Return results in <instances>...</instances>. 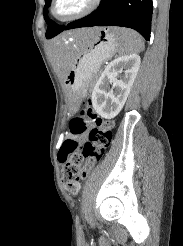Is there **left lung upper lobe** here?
I'll list each match as a JSON object with an SVG mask.
<instances>
[{
    "label": "left lung upper lobe",
    "instance_id": "5c2ea615",
    "mask_svg": "<svg viewBox=\"0 0 183 246\" xmlns=\"http://www.w3.org/2000/svg\"><path fill=\"white\" fill-rule=\"evenodd\" d=\"M50 4H51V0H45V7L43 9L44 19L48 24V28H47V32H46V38L47 39H50V38L58 35L65 28V26L58 25L53 20L48 18L47 13H48V7L50 6Z\"/></svg>",
    "mask_w": 183,
    "mask_h": 246
}]
</instances>
